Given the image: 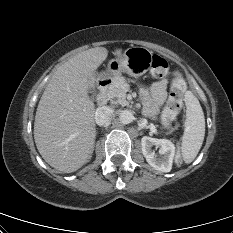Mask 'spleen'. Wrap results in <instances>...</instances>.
Wrapping results in <instances>:
<instances>
[{"instance_id": "1", "label": "spleen", "mask_w": 233, "mask_h": 233, "mask_svg": "<svg viewBox=\"0 0 233 233\" xmlns=\"http://www.w3.org/2000/svg\"><path fill=\"white\" fill-rule=\"evenodd\" d=\"M185 129L181 143V156L185 163H191L197 156L205 136V118L196 96L187 92Z\"/></svg>"}]
</instances>
